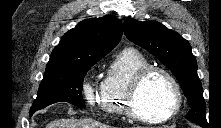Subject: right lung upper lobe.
Segmentation results:
<instances>
[{
  "label": "right lung upper lobe",
  "instance_id": "obj_1",
  "mask_svg": "<svg viewBox=\"0 0 221 128\" xmlns=\"http://www.w3.org/2000/svg\"><path fill=\"white\" fill-rule=\"evenodd\" d=\"M122 24L113 16L87 19L69 30L51 53L46 71L103 58L119 43Z\"/></svg>",
  "mask_w": 221,
  "mask_h": 128
}]
</instances>
